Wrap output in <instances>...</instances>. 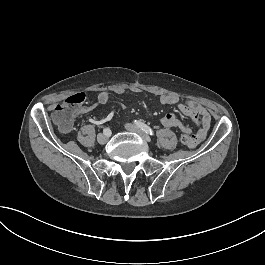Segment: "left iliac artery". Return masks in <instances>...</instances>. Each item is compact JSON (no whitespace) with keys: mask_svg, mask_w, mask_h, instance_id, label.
<instances>
[{"mask_svg":"<svg viewBox=\"0 0 265 265\" xmlns=\"http://www.w3.org/2000/svg\"><path fill=\"white\" fill-rule=\"evenodd\" d=\"M134 123H135L139 128H141L143 131H145L147 134H149V135H151V136L154 135V131H153L149 126H147L146 124H144L143 122L135 120Z\"/></svg>","mask_w":265,"mask_h":265,"instance_id":"1","label":"left iliac artery"}]
</instances>
